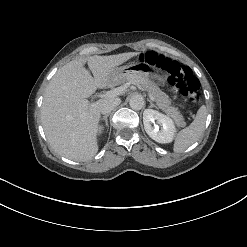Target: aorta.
Returning <instances> with one entry per match:
<instances>
[{"mask_svg":"<svg viewBox=\"0 0 247 247\" xmlns=\"http://www.w3.org/2000/svg\"><path fill=\"white\" fill-rule=\"evenodd\" d=\"M129 105L133 110H141L144 107V98L139 94L133 95L129 99Z\"/></svg>","mask_w":247,"mask_h":247,"instance_id":"aorta-1","label":"aorta"}]
</instances>
